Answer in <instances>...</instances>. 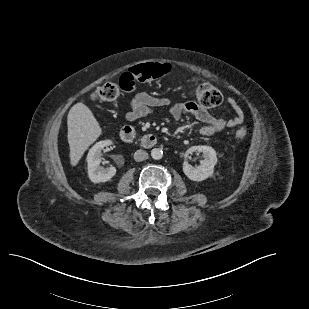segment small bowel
I'll list each match as a JSON object with an SVG mask.
<instances>
[{
  "instance_id": "small-bowel-1",
  "label": "small bowel",
  "mask_w": 309,
  "mask_h": 309,
  "mask_svg": "<svg viewBox=\"0 0 309 309\" xmlns=\"http://www.w3.org/2000/svg\"><path fill=\"white\" fill-rule=\"evenodd\" d=\"M126 88L127 91L133 89L130 82H126ZM228 104L235 115L232 118L222 119L214 117L206 108L192 100L172 103L169 98L156 97L141 92L132 97L126 118L129 121H134L153 114L158 108L167 107L168 113L175 120L180 119L184 114H191L203 124L199 129L200 134L203 136H211L225 129L234 128L243 122L244 114L238 102L234 98H229Z\"/></svg>"
}]
</instances>
